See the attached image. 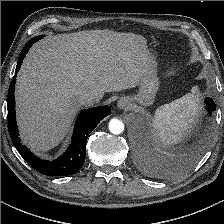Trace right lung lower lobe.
Segmentation results:
<instances>
[{"label": "right lung lower lobe", "mask_w": 224, "mask_h": 224, "mask_svg": "<svg viewBox=\"0 0 224 224\" xmlns=\"http://www.w3.org/2000/svg\"><path fill=\"white\" fill-rule=\"evenodd\" d=\"M35 39L28 41L21 51L15 73L22 65L29 48L34 44ZM15 83L16 75L10 83L7 108H8V130L11 140L23 159L36 171L48 176H68L78 172L84 164L86 155V142L89 134L95 129L100 120L111 114L109 107L100 106L91 109H84L79 114L74 128V133L66 152L56 160L46 161L36 157L26 146L22 145L18 136V128L15 114Z\"/></svg>", "instance_id": "98d812e1"}]
</instances>
